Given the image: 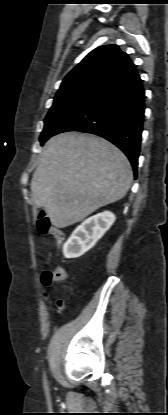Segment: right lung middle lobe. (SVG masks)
Wrapping results in <instances>:
<instances>
[{
  "label": "right lung middle lobe",
  "instance_id": "dd1d6c3e",
  "mask_svg": "<svg viewBox=\"0 0 168 415\" xmlns=\"http://www.w3.org/2000/svg\"><path fill=\"white\" fill-rule=\"evenodd\" d=\"M100 94V91L85 90L55 97L44 120V129L40 136L41 144L55 135L66 121Z\"/></svg>",
  "mask_w": 168,
  "mask_h": 415
}]
</instances>
